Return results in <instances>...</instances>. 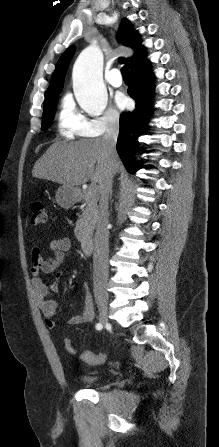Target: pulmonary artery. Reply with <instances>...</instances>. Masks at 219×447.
I'll use <instances>...</instances> for the list:
<instances>
[{
    "mask_svg": "<svg viewBox=\"0 0 219 447\" xmlns=\"http://www.w3.org/2000/svg\"><path fill=\"white\" fill-rule=\"evenodd\" d=\"M106 81L113 87H120L123 84L120 71L116 68L110 70L106 75Z\"/></svg>",
    "mask_w": 219,
    "mask_h": 447,
    "instance_id": "e3ab8cb5",
    "label": "pulmonary artery"
}]
</instances>
